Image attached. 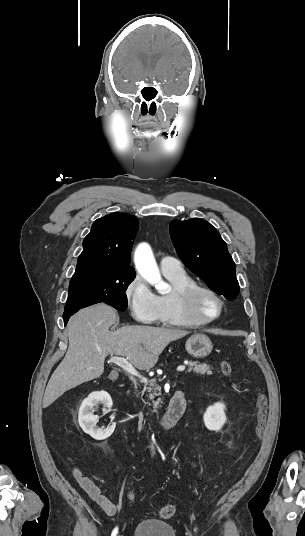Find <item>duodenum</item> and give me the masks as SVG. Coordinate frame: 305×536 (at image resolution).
I'll use <instances>...</instances> for the list:
<instances>
[{
    "label": "duodenum",
    "mask_w": 305,
    "mask_h": 536,
    "mask_svg": "<svg viewBox=\"0 0 305 536\" xmlns=\"http://www.w3.org/2000/svg\"><path fill=\"white\" fill-rule=\"evenodd\" d=\"M185 411V397L183 392H176L169 404V408L164 417L159 422L158 427L163 431H168L176 425Z\"/></svg>",
    "instance_id": "1"
}]
</instances>
